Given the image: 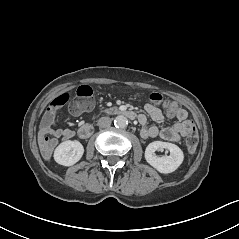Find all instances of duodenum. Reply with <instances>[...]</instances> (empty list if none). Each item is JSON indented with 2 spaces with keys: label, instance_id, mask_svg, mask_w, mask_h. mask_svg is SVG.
I'll return each instance as SVG.
<instances>
[{
  "label": "duodenum",
  "instance_id": "obj_1",
  "mask_svg": "<svg viewBox=\"0 0 239 239\" xmlns=\"http://www.w3.org/2000/svg\"><path fill=\"white\" fill-rule=\"evenodd\" d=\"M109 112L122 113L130 119L136 118V114L130 110H120L118 108H112L109 110ZM93 131H94V126L90 123H86L79 127L78 134L81 138L85 139V138H89L92 135Z\"/></svg>",
  "mask_w": 239,
  "mask_h": 239
}]
</instances>
